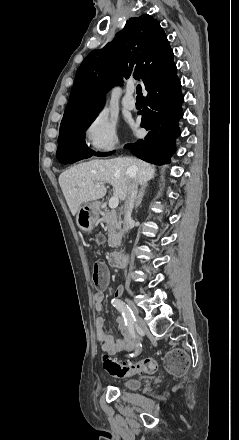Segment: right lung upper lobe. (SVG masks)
Listing matches in <instances>:
<instances>
[{
    "label": "right lung upper lobe",
    "instance_id": "cb5924a9",
    "mask_svg": "<svg viewBox=\"0 0 239 440\" xmlns=\"http://www.w3.org/2000/svg\"><path fill=\"white\" fill-rule=\"evenodd\" d=\"M173 51L159 21L130 18L114 40L92 51L78 68L62 122L101 110L105 94L130 76L146 86L173 65Z\"/></svg>",
    "mask_w": 239,
    "mask_h": 440
}]
</instances>
